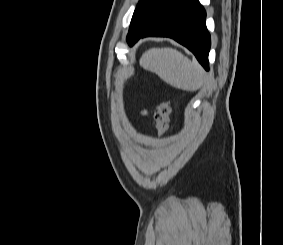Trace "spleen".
I'll return each instance as SVG.
<instances>
[{
	"label": "spleen",
	"mask_w": 283,
	"mask_h": 245,
	"mask_svg": "<svg viewBox=\"0 0 283 245\" xmlns=\"http://www.w3.org/2000/svg\"><path fill=\"white\" fill-rule=\"evenodd\" d=\"M139 63L141 67L178 89L196 91L204 84L202 67L173 48L149 49Z\"/></svg>",
	"instance_id": "obj_1"
}]
</instances>
